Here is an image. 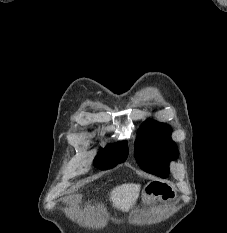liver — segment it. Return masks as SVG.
I'll return each instance as SVG.
<instances>
[{
    "mask_svg": "<svg viewBox=\"0 0 227 233\" xmlns=\"http://www.w3.org/2000/svg\"><path fill=\"white\" fill-rule=\"evenodd\" d=\"M140 184L128 183L115 187L110 193L113 206L123 212H128L135 204L140 193Z\"/></svg>",
    "mask_w": 227,
    "mask_h": 233,
    "instance_id": "6515ba94",
    "label": "liver"
}]
</instances>
